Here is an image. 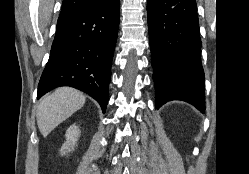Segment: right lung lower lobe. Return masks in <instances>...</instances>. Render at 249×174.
<instances>
[{
    "instance_id": "obj_1",
    "label": "right lung lower lobe",
    "mask_w": 249,
    "mask_h": 174,
    "mask_svg": "<svg viewBox=\"0 0 249 174\" xmlns=\"http://www.w3.org/2000/svg\"><path fill=\"white\" fill-rule=\"evenodd\" d=\"M119 12L120 1L112 0L58 18L37 98L56 87L71 86L93 97L105 112Z\"/></svg>"
}]
</instances>
